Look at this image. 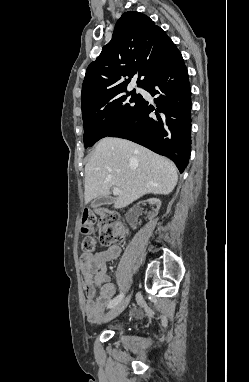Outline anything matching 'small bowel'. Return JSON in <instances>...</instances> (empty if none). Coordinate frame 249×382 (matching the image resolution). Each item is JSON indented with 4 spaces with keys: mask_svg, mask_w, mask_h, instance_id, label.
Masks as SVG:
<instances>
[{
    "mask_svg": "<svg viewBox=\"0 0 249 382\" xmlns=\"http://www.w3.org/2000/svg\"><path fill=\"white\" fill-rule=\"evenodd\" d=\"M120 252L118 245H112L107 249L84 252L80 256L86 296L85 313L87 321L91 324L97 323L102 318L105 306L115 293V287L107 273V263L115 260ZM96 285L101 287L97 298H95Z\"/></svg>",
    "mask_w": 249,
    "mask_h": 382,
    "instance_id": "small-bowel-1",
    "label": "small bowel"
}]
</instances>
